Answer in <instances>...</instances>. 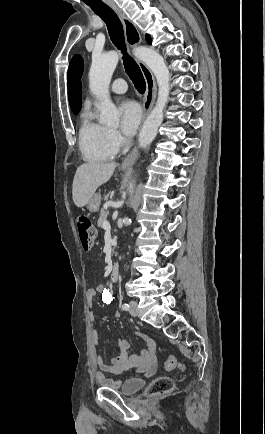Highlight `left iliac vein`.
I'll return each mask as SVG.
<instances>
[{
  "mask_svg": "<svg viewBox=\"0 0 265 434\" xmlns=\"http://www.w3.org/2000/svg\"><path fill=\"white\" fill-rule=\"evenodd\" d=\"M129 312L132 316H138V303L136 301L130 302Z\"/></svg>",
  "mask_w": 265,
  "mask_h": 434,
  "instance_id": "obj_1",
  "label": "left iliac vein"
}]
</instances>
